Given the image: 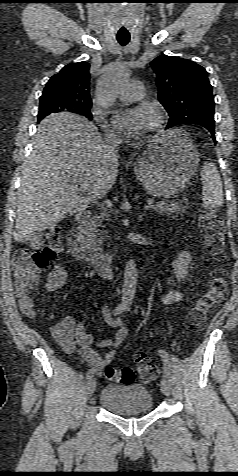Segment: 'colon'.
<instances>
[{
    "label": "colon",
    "instance_id": "1",
    "mask_svg": "<svg viewBox=\"0 0 238 476\" xmlns=\"http://www.w3.org/2000/svg\"><path fill=\"white\" fill-rule=\"evenodd\" d=\"M199 224L204 237L207 251L214 260L220 262L225 258L224 223L223 219L209 211L199 216ZM59 229L50 227L38 235L29 247L18 249L12 257L16 293L20 299L22 310L33 316L30 298L39 284V273L60 252ZM227 291V273L222 267L212 272L209 288L199 297L187 315V325L191 331H199L204 326L210 310L218 304ZM137 371L145 382L154 380L158 370L149 357L142 351L134 355ZM106 378L122 384H131L135 380V372L130 367L107 368Z\"/></svg>",
    "mask_w": 238,
    "mask_h": 476
}]
</instances>
